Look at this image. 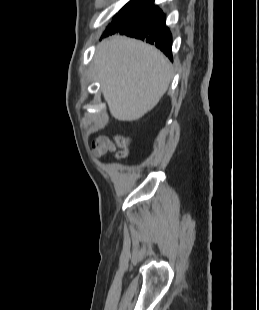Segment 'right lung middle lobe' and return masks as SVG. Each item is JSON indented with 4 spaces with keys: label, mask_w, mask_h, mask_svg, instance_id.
I'll return each instance as SVG.
<instances>
[{
    "label": "right lung middle lobe",
    "mask_w": 259,
    "mask_h": 310,
    "mask_svg": "<svg viewBox=\"0 0 259 310\" xmlns=\"http://www.w3.org/2000/svg\"><path fill=\"white\" fill-rule=\"evenodd\" d=\"M153 7V0H131L121 9L118 15L114 17L113 22L108 25L103 36L126 27Z\"/></svg>",
    "instance_id": "dd1d6c3e"
}]
</instances>
